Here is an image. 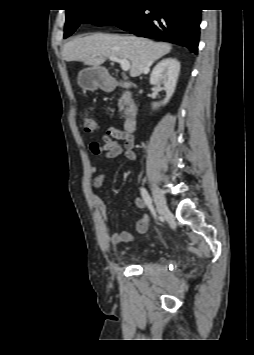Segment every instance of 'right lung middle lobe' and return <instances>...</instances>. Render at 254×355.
Listing matches in <instances>:
<instances>
[{"instance_id":"dd1d6c3e","label":"right lung middle lobe","mask_w":254,"mask_h":355,"mask_svg":"<svg viewBox=\"0 0 254 355\" xmlns=\"http://www.w3.org/2000/svg\"><path fill=\"white\" fill-rule=\"evenodd\" d=\"M143 0H124L121 5L105 6L96 9H70L66 11L64 38L70 36L82 22H91L98 26L114 25L129 10Z\"/></svg>"}]
</instances>
